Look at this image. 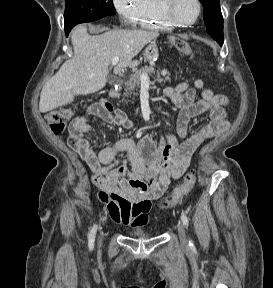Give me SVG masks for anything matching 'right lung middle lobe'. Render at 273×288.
I'll return each mask as SVG.
<instances>
[{
    "label": "right lung middle lobe",
    "mask_w": 273,
    "mask_h": 288,
    "mask_svg": "<svg viewBox=\"0 0 273 288\" xmlns=\"http://www.w3.org/2000/svg\"><path fill=\"white\" fill-rule=\"evenodd\" d=\"M116 13L112 0H65V30L82 22H91Z\"/></svg>",
    "instance_id": "obj_1"
}]
</instances>
